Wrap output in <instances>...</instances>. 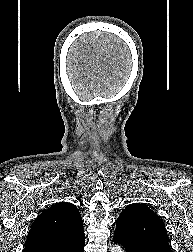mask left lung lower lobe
Segmentation results:
<instances>
[{
    "instance_id": "obj_1",
    "label": "left lung lower lobe",
    "mask_w": 193,
    "mask_h": 252,
    "mask_svg": "<svg viewBox=\"0 0 193 252\" xmlns=\"http://www.w3.org/2000/svg\"><path fill=\"white\" fill-rule=\"evenodd\" d=\"M114 242L122 244L127 252H172L169 244L157 241L125 243L122 239L114 234Z\"/></svg>"
}]
</instances>
